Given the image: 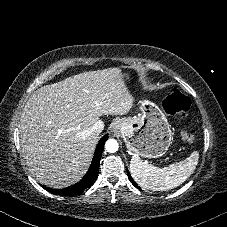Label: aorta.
I'll return each mask as SVG.
<instances>
[{"label": "aorta", "instance_id": "obj_1", "mask_svg": "<svg viewBox=\"0 0 227 227\" xmlns=\"http://www.w3.org/2000/svg\"><path fill=\"white\" fill-rule=\"evenodd\" d=\"M105 148L107 152L114 153L118 151L119 144L115 139H109L105 143Z\"/></svg>", "mask_w": 227, "mask_h": 227}]
</instances>
